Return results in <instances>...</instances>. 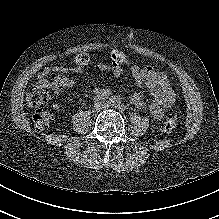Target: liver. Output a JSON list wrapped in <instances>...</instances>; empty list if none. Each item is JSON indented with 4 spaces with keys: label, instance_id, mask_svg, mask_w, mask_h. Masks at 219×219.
<instances>
[{
    "label": "liver",
    "instance_id": "obj_1",
    "mask_svg": "<svg viewBox=\"0 0 219 219\" xmlns=\"http://www.w3.org/2000/svg\"><path fill=\"white\" fill-rule=\"evenodd\" d=\"M27 101H30V95H27Z\"/></svg>",
    "mask_w": 219,
    "mask_h": 219
}]
</instances>
